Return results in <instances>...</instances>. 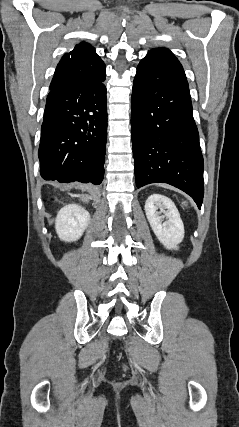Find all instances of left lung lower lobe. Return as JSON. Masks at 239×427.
<instances>
[{"label": "left lung lower lobe", "instance_id": "0a47b994", "mask_svg": "<svg viewBox=\"0 0 239 427\" xmlns=\"http://www.w3.org/2000/svg\"><path fill=\"white\" fill-rule=\"evenodd\" d=\"M131 110L137 188L168 183L190 195L200 208L203 157L187 79L141 61Z\"/></svg>", "mask_w": 239, "mask_h": 427}]
</instances>
